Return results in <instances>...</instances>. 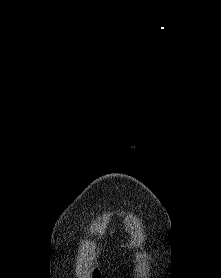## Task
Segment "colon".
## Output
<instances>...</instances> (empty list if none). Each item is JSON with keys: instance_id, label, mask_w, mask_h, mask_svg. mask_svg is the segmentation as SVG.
<instances>
[{"instance_id": "5ec220e1", "label": "colon", "mask_w": 221, "mask_h": 278, "mask_svg": "<svg viewBox=\"0 0 221 278\" xmlns=\"http://www.w3.org/2000/svg\"><path fill=\"white\" fill-rule=\"evenodd\" d=\"M90 276H91V278H100L99 273L96 272V271H92V272L90 273Z\"/></svg>"}]
</instances>
